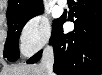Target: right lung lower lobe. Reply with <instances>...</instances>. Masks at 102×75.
Here are the masks:
<instances>
[{"label":"right lung lower lobe","instance_id":"right-lung-lower-lobe-1","mask_svg":"<svg viewBox=\"0 0 102 75\" xmlns=\"http://www.w3.org/2000/svg\"><path fill=\"white\" fill-rule=\"evenodd\" d=\"M72 21L75 28L64 34L62 24ZM50 44L54 48L53 71L57 75H100L102 71V1L77 0L68 16L53 25ZM42 51L27 60L36 63Z\"/></svg>","mask_w":102,"mask_h":75}]
</instances>
